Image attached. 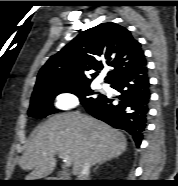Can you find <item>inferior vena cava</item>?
Masks as SVG:
<instances>
[{"mask_svg":"<svg viewBox=\"0 0 178 186\" xmlns=\"http://www.w3.org/2000/svg\"><path fill=\"white\" fill-rule=\"evenodd\" d=\"M89 174H90V162H86L77 176L78 180H88Z\"/></svg>","mask_w":178,"mask_h":186,"instance_id":"602c4592","label":"inferior vena cava"}]
</instances>
